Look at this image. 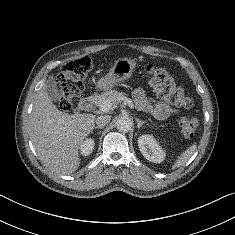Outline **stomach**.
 Listing matches in <instances>:
<instances>
[{
  "instance_id": "0dacf381",
  "label": "stomach",
  "mask_w": 235,
  "mask_h": 235,
  "mask_svg": "<svg viewBox=\"0 0 235 235\" xmlns=\"http://www.w3.org/2000/svg\"><path fill=\"white\" fill-rule=\"evenodd\" d=\"M134 59L120 58L115 61L109 72L101 77L96 87L100 90H108L129 79L136 68Z\"/></svg>"
}]
</instances>
